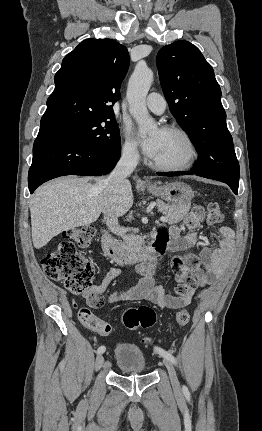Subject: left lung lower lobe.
<instances>
[{"label":"left lung lower lobe","mask_w":262,"mask_h":431,"mask_svg":"<svg viewBox=\"0 0 262 431\" xmlns=\"http://www.w3.org/2000/svg\"><path fill=\"white\" fill-rule=\"evenodd\" d=\"M157 174L160 176H178V175H186V174H195V175L201 176V175L197 174L195 171H192V172H168V173L167 172H158ZM228 185L230 186V188L233 190V192L235 194H238V186L239 185L231 184V183Z\"/></svg>","instance_id":"left-lung-lower-lobe-1"}]
</instances>
